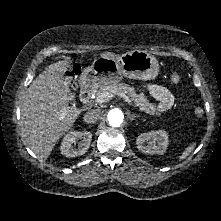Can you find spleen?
Returning <instances> with one entry per match:
<instances>
[{
    "label": "spleen",
    "mask_w": 221,
    "mask_h": 221,
    "mask_svg": "<svg viewBox=\"0 0 221 221\" xmlns=\"http://www.w3.org/2000/svg\"><path fill=\"white\" fill-rule=\"evenodd\" d=\"M194 145L187 147L182 155L179 157L180 160L185 159L192 151H193Z\"/></svg>",
    "instance_id": "spleen-1"
}]
</instances>
